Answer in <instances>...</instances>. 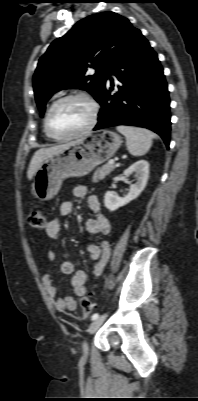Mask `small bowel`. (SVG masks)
<instances>
[{"mask_svg": "<svg viewBox=\"0 0 198 401\" xmlns=\"http://www.w3.org/2000/svg\"><path fill=\"white\" fill-rule=\"evenodd\" d=\"M73 194L77 198H83L87 195V188L85 186H76L73 189ZM89 209L93 213V217L86 221V231L90 237L87 244V252L89 257L96 261L94 266V276L98 278L108 262L110 257V244L108 241H102L101 244L93 242L92 238L97 235H107L111 230L110 221L102 214L101 204L97 196L90 195L87 199ZM73 209L71 202H63L59 206V215L53 218L46 226V235L52 240L56 241L59 239L62 219L67 217ZM57 256L55 251H51L48 254L49 260H54ZM63 261L60 265V270L64 274H71V286L73 287L74 294L64 298L58 297L57 289L53 282V277L50 273H46L42 276V284L53 304L55 309L60 312L73 311L77 306V298L86 294V279L87 274L84 270H76L74 263L71 260L68 253L62 254Z\"/></svg>", "mask_w": 198, "mask_h": 401, "instance_id": "small-bowel-1", "label": "small bowel"}]
</instances>
